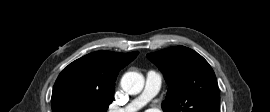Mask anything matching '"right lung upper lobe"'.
Here are the masks:
<instances>
[{
  "label": "right lung upper lobe",
  "mask_w": 270,
  "mask_h": 112,
  "mask_svg": "<svg viewBox=\"0 0 270 112\" xmlns=\"http://www.w3.org/2000/svg\"><path fill=\"white\" fill-rule=\"evenodd\" d=\"M138 52L97 51L75 60L59 74L52 92L54 97L65 90L113 100L115 80L120 69L128 65Z\"/></svg>",
  "instance_id": "obj_1"
}]
</instances>
